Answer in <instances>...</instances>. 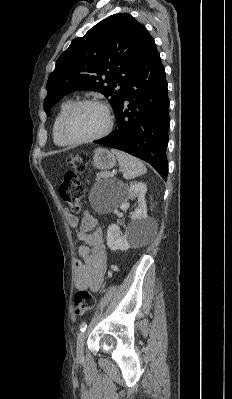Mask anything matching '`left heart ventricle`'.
I'll list each match as a JSON object with an SVG mask.
<instances>
[{
    "instance_id": "1",
    "label": "left heart ventricle",
    "mask_w": 232,
    "mask_h": 399,
    "mask_svg": "<svg viewBox=\"0 0 232 399\" xmlns=\"http://www.w3.org/2000/svg\"><path fill=\"white\" fill-rule=\"evenodd\" d=\"M107 113L99 105H82L70 115L68 129L76 138H89L101 133L107 126Z\"/></svg>"
}]
</instances>
